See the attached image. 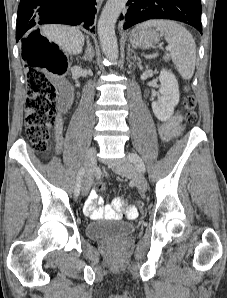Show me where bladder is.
<instances>
[{
    "label": "bladder",
    "mask_w": 227,
    "mask_h": 298,
    "mask_svg": "<svg viewBox=\"0 0 227 298\" xmlns=\"http://www.w3.org/2000/svg\"><path fill=\"white\" fill-rule=\"evenodd\" d=\"M135 225L122 220H100L91 222L86 226V236L90 239H115L132 234Z\"/></svg>",
    "instance_id": "obj_1"
}]
</instances>
